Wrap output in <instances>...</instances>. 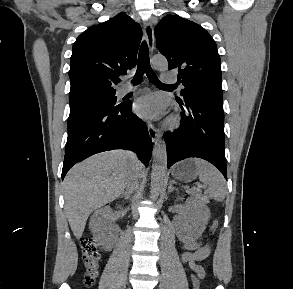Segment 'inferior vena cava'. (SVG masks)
Here are the masks:
<instances>
[{"mask_svg": "<svg viewBox=\"0 0 293 289\" xmlns=\"http://www.w3.org/2000/svg\"><path fill=\"white\" fill-rule=\"evenodd\" d=\"M130 156L137 161L135 155L133 153H130ZM140 174L137 171H131L129 173V176L126 181V192L131 194L137 187H138V180H139Z\"/></svg>", "mask_w": 293, "mask_h": 289, "instance_id": "1", "label": "inferior vena cava"}]
</instances>
